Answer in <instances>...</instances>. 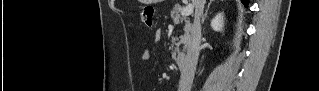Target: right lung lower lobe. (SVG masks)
<instances>
[{
  "label": "right lung lower lobe",
  "instance_id": "obj_1",
  "mask_svg": "<svg viewBox=\"0 0 319 91\" xmlns=\"http://www.w3.org/2000/svg\"><path fill=\"white\" fill-rule=\"evenodd\" d=\"M243 4L247 7L248 6V0H242Z\"/></svg>",
  "mask_w": 319,
  "mask_h": 91
}]
</instances>
